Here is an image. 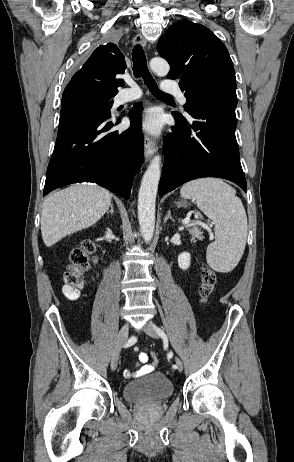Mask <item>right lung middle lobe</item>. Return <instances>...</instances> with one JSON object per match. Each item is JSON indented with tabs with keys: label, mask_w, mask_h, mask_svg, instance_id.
Returning a JSON list of instances; mask_svg holds the SVG:
<instances>
[{
	"label": "right lung middle lobe",
	"mask_w": 294,
	"mask_h": 462,
	"mask_svg": "<svg viewBox=\"0 0 294 462\" xmlns=\"http://www.w3.org/2000/svg\"><path fill=\"white\" fill-rule=\"evenodd\" d=\"M112 97L94 93H74L63 97L60 123L66 120L94 116L109 117L113 104Z\"/></svg>",
	"instance_id": "1"
}]
</instances>
